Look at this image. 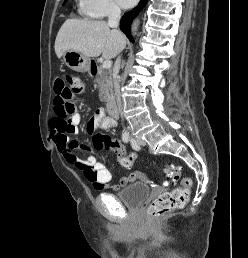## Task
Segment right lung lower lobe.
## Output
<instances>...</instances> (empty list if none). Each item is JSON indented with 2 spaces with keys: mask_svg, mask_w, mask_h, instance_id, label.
<instances>
[{
  "mask_svg": "<svg viewBox=\"0 0 248 258\" xmlns=\"http://www.w3.org/2000/svg\"><path fill=\"white\" fill-rule=\"evenodd\" d=\"M146 3H147V0H141L140 3L138 4V6H136L131 11L125 13L121 19L120 29L126 34V36L129 38L130 41L133 40V38L130 34V25H131L133 19L138 15V13L146 5Z\"/></svg>",
  "mask_w": 248,
  "mask_h": 258,
  "instance_id": "1",
  "label": "right lung lower lobe"
}]
</instances>
